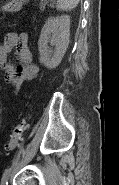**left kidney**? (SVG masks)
<instances>
[{"label": "left kidney", "mask_w": 119, "mask_h": 185, "mask_svg": "<svg viewBox=\"0 0 119 185\" xmlns=\"http://www.w3.org/2000/svg\"><path fill=\"white\" fill-rule=\"evenodd\" d=\"M70 38V17L69 15H61L50 17L41 30L38 41V49L40 53V63L48 69L56 68L69 45ZM48 43L55 46L52 51Z\"/></svg>", "instance_id": "left-kidney-1"}]
</instances>
